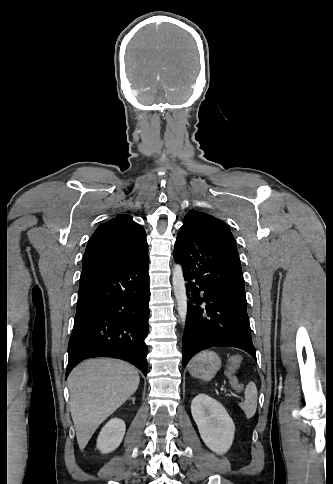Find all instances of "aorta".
Returning a JSON list of instances; mask_svg holds the SVG:
<instances>
[{"label": "aorta", "instance_id": "1", "mask_svg": "<svg viewBox=\"0 0 333 484\" xmlns=\"http://www.w3.org/2000/svg\"><path fill=\"white\" fill-rule=\"evenodd\" d=\"M172 283L174 289V295L177 302V310L181 322L185 324L187 315V294L185 287V280L183 276L182 266L180 264H175L172 274Z\"/></svg>", "mask_w": 333, "mask_h": 484}]
</instances>
